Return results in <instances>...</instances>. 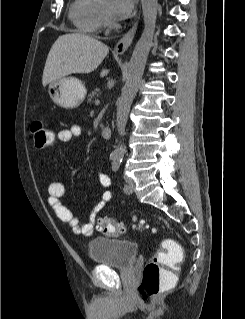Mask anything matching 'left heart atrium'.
<instances>
[{
  "instance_id": "1",
  "label": "left heart atrium",
  "mask_w": 245,
  "mask_h": 319,
  "mask_svg": "<svg viewBox=\"0 0 245 319\" xmlns=\"http://www.w3.org/2000/svg\"><path fill=\"white\" fill-rule=\"evenodd\" d=\"M136 0H114L113 13L117 19H125L132 12Z\"/></svg>"
}]
</instances>
